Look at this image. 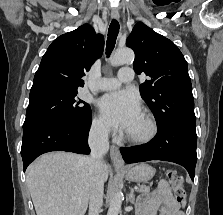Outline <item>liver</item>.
<instances>
[{
  "label": "liver",
  "mask_w": 223,
  "mask_h": 215,
  "mask_svg": "<svg viewBox=\"0 0 223 215\" xmlns=\"http://www.w3.org/2000/svg\"><path fill=\"white\" fill-rule=\"evenodd\" d=\"M103 173L106 181L107 163H103ZM89 181L88 159L77 153L49 151L26 169V183L37 215H84Z\"/></svg>",
  "instance_id": "obj_1"
}]
</instances>
